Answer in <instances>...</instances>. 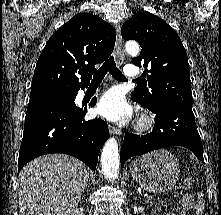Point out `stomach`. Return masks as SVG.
I'll list each match as a JSON object with an SVG mask.
<instances>
[{
	"label": "stomach",
	"mask_w": 221,
	"mask_h": 215,
	"mask_svg": "<svg viewBox=\"0 0 221 215\" xmlns=\"http://www.w3.org/2000/svg\"><path fill=\"white\" fill-rule=\"evenodd\" d=\"M179 164L167 150L159 149L134 160L132 178L145 190L161 193L170 190L179 178Z\"/></svg>",
	"instance_id": "stomach-1"
}]
</instances>
